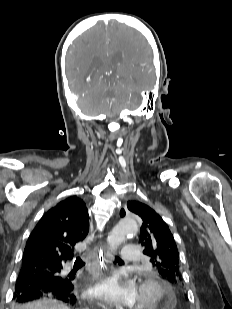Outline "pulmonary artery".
<instances>
[{"instance_id": "1", "label": "pulmonary artery", "mask_w": 232, "mask_h": 309, "mask_svg": "<svg viewBox=\"0 0 232 309\" xmlns=\"http://www.w3.org/2000/svg\"><path fill=\"white\" fill-rule=\"evenodd\" d=\"M121 257L125 262L134 263L139 260L138 248L135 245L126 246L121 251ZM70 271L69 267H66L63 272L68 273Z\"/></svg>"}]
</instances>
